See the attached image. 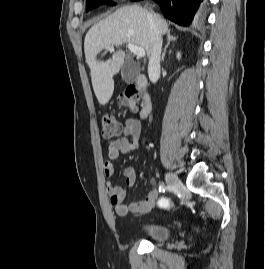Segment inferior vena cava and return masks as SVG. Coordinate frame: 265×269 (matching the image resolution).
I'll return each mask as SVG.
<instances>
[{
    "label": "inferior vena cava",
    "instance_id": "602c4592",
    "mask_svg": "<svg viewBox=\"0 0 265 269\" xmlns=\"http://www.w3.org/2000/svg\"><path fill=\"white\" fill-rule=\"evenodd\" d=\"M150 19V30L152 40V51L149 58L148 75L152 83H156L160 74V56L162 50V37L157 25L153 22L151 15Z\"/></svg>",
    "mask_w": 265,
    "mask_h": 269
}]
</instances>
